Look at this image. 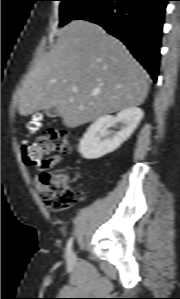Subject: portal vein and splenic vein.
Instances as JSON below:
<instances>
[{
    "label": "portal vein and splenic vein",
    "mask_w": 180,
    "mask_h": 299,
    "mask_svg": "<svg viewBox=\"0 0 180 299\" xmlns=\"http://www.w3.org/2000/svg\"><path fill=\"white\" fill-rule=\"evenodd\" d=\"M73 91H74V92H77V89H74Z\"/></svg>",
    "instance_id": "1"
}]
</instances>
